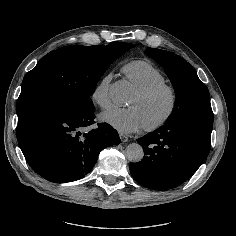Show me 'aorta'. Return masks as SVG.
Wrapping results in <instances>:
<instances>
[{"mask_svg":"<svg viewBox=\"0 0 236 236\" xmlns=\"http://www.w3.org/2000/svg\"><path fill=\"white\" fill-rule=\"evenodd\" d=\"M125 156L133 163L140 162L144 156L142 146L138 143L129 144L125 149Z\"/></svg>","mask_w":236,"mask_h":236,"instance_id":"762f6f07","label":"aorta"}]
</instances>
